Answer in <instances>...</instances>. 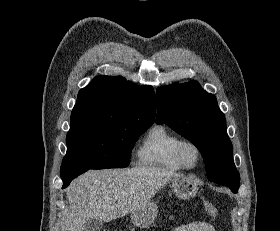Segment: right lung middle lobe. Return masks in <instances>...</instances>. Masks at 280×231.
Instances as JSON below:
<instances>
[{"mask_svg": "<svg viewBox=\"0 0 280 231\" xmlns=\"http://www.w3.org/2000/svg\"><path fill=\"white\" fill-rule=\"evenodd\" d=\"M152 124L112 118H74L61 168H125L138 137Z\"/></svg>", "mask_w": 280, "mask_h": 231, "instance_id": "right-lung-middle-lobe-1", "label": "right lung middle lobe"}]
</instances>
